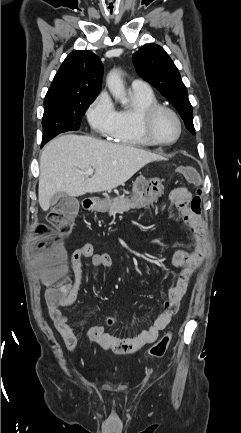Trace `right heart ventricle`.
I'll list each match as a JSON object with an SVG mask.
<instances>
[{
	"instance_id": "right-heart-ventricle-1",
	"label": "right heart ventricle",
	"mask_w": 241,
	"mask_h": 433,
	"mask_svg": "<svg viewBox=\"0 0 241 433\" xmlns=\"http://www.w3.org/2000/svg\"><path fill=\"white\" fill-rule=\"evenodd\" d=\"M132 104L117 111V121L111 135L117 143L134 146L149 147L150 144L143 136L140 128V112L142 109L158 104L152 91H131Z\"/></svg>"
}]
</instances>
